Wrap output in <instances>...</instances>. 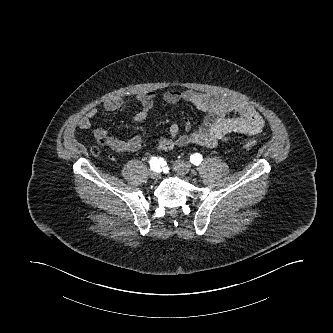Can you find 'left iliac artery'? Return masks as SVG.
Returning <instances> with one entry per match:
<instances>
[{"label": "left iliac artery", "mask_w": 333, "mask_h": 333, "mask_svg": "<svg viewBox=\"0 0 333 333\" xmlns=\"http://www.w3.org/2000/svg\"><path fill=\"white\" fill-rule=\"evenodd\" d=\"M202 160V155L199 153H195L190 156V161L196 166H198L202 162Z\"/></svg>", "instance_id": "44dca946"}]
</instances>
